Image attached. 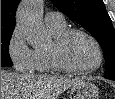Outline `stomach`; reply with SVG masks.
I'll use <instances>...</instances> for the list:
<instances>
[{"mask_svg":"<svg viewBox=\"0 0 115 99\" xmlns=\"http://www.w3.org/2000/svg\"><path fill=\"white\" fill-rule=\"evenodd\" d=\"M69 97L70 99H99V89L92 82L82 80L72 86Z\"/></svg>","mask_w":115,"mask_h":99,"instance_id":"1","label":"stomach"}]
</instances>
